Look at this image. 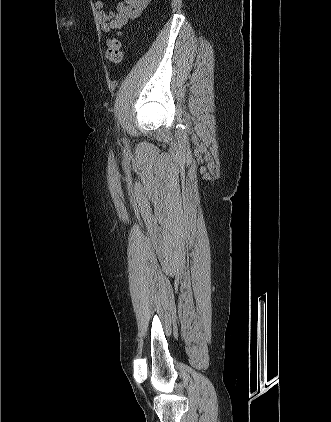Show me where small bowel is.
Returning <instances> with one entry per match:
<instances>
[{
    "instance_id": "1",
    "label": "small bowel",
    "mask_w": 331,
    "mask_h": 422,
    "mask_svg": "<svg viewBox=\"0 0 331 422\" xmlns=\"http://www.w3.org/2000/svg\"><path fill=\"white\" fill-rule=\"evenodd\" d=\"M151 0H124L116 5V9L106 12L104 2H95L96 17L103 32L123 29L129 22L137 18Z\"/></svg>"
}]
</instances>
